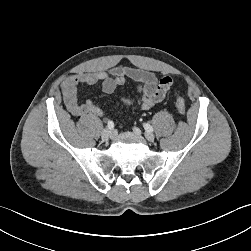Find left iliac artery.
I'll return each instance as SVG.
<instances>
[{
  "instance_id": "obj_1",
  "label": "left iliac artery",
  "mask_w": 251,
  "mask_h": 251,
  "mask_svg": "<svg viewBox=\"0 0 251 251\" xmlns=\"http://www.w3.org/2000/svg\"><path fill=\"white\" fill-rule=\"evenodd\" d=\"M143 126H144L146 132H153V127L150 124L144 123Z\"/></svg>"
}]
</instances>
